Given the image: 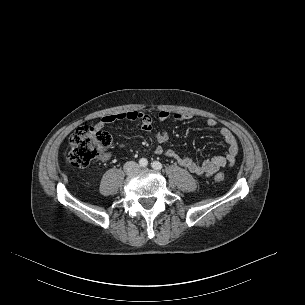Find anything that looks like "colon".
I'll use <instances>...</instances> for the list:
<instances>
[{
    "instance_id": "colon-1",
    "label": "colon",
    "mask_w": 305,
    "mask_h": 305,
    "mask_svg": "<svg viewBox=\"0 0 305 305\" xmlns=\"http://www.w3.org/2000/svg\"><path fill=\"white\" fill-rule=\"evenodd\" d=\"M111 143L112 137L108 132L97 130L93 126L80 127L70 138V150L65 157L66 163L74 168H85ZM224 180V173L215 174V182L221 183Z\"/></svg>"
}]
</instances>
